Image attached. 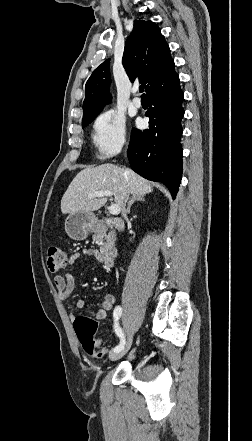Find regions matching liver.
<instances>
[{
  "label": "liver",
  "instance_id": "1",
  "mask_svg": "<svg viewBox=\"0 0 252 441\" xmlns=\"http://www.w3.org/2000/svg\"><path fill=\"white\" fill-rule=\"evenodd\" d=\"M97 191H111L114 201L120 208L131 194L144 197L153 191L151 183L129 168L113 164H103L97 167H86L74 177L61 200L63 214L74 212H93L107 202V198H88L89 194Z\"/></svg>",
  "mask_w": 252,
  "mask_h": 441
}]
</instances>
